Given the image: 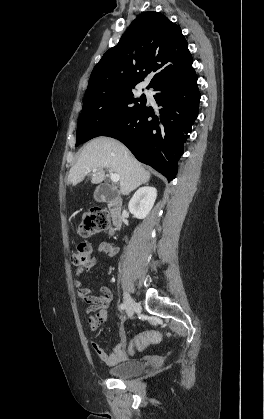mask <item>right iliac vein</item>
<instances>
[{
    "label": "right iliac vein",
    "instance_id": "63e3f726",
    "mask_svg": "<svg viewBox=\"0 0 264 419\" xmlns=\"http://www.w3.org/2000/svg\"><path fill=\"white\" fill-rule=\"evenodd\" d=\"M124 303L127 314L129 315V317H132L135 313L137 304L127 292L124 293Z\"/></svg>",
    "mask_w": 264,
    "mask_h": 419
}]
</instances>
